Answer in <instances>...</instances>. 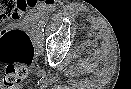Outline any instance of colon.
<instances>
[{"label":"colon","instance_id":"5ec220e1","mask_svg":"<svg viewBox=\"0 0 131 89\" xmlns=\"http://www.w3.org/2000/svg\"><path fill=\"white\" fill-rule=\"evenodd\" d=\"M36 5L30 1L0 0V23L14 18L27 7ZM34 58V46L30 37L21 30L6 32L0 37V70L4 65L2 83L17 89L27 77L28 66Z\"/></svg>","mask_w":131,"mask_h":89}]
</instances>
